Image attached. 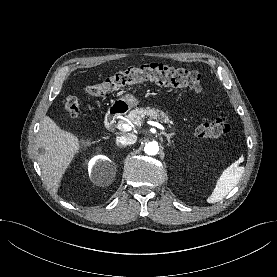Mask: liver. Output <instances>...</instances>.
Returning <instances> with one entry per match:
<instances>
[{
  "label": "liver",
  "instance_id": "6515ba94",
  "mask_svg": "<svg viewBox=\"0 0 277 277\" xmlns=\"http://www.w3.org/2000/svg\"><path fill=\"white\" fill-rule=\"evenodd\" d=\"M37 145L44 149V153L38 155L43 179L56 192L65 171L80 151L79 138L72 132L61 129L54 120L45 116L38 132Z\"/></svg>",
  "mask_w": 277,
  "mask_h": 277
}]
</instances>
